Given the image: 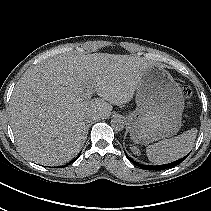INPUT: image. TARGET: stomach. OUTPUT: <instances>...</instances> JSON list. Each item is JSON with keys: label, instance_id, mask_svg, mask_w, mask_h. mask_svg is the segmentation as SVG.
<instances>
[{"label": "stomach", "instance_id": "obj_1", "mask_svg": "<svg viewBox=\"0 0 211 211\" xmlns=\"http://www.w3.org/2000/svg\"><path fill=\"white\" fill-rule=\"evenodd\" d=\"M136 109L127 116L131 139L139 144L168 138L182 126L184 97L171 74L152 65L137 86Z\"/></svg>", "mask_w": 211, "mask_h": 211}]
</instances>
